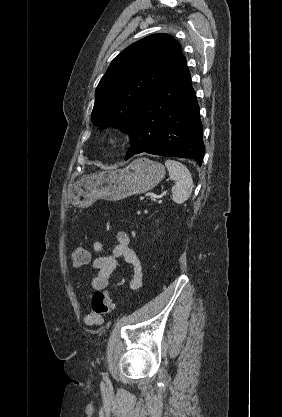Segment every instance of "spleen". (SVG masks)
Returning a JSON list of instances; mask_svg holds the SVG:
<instances>
[{"mask_svg":"<svg viewBox=\"0 0 282 417\" xmlns=\"http://www.w3.org/2000/svg\"><path fill=\"white\" fill-rule=\"evenodd\" d=\"M171 180H176L172 186V196L174 202L182 204L189 198L193 188V178L185 164L178 160H165Z\"/></svg>","mask_w":282,"mask_h":417,"instance_id":"3e777b00","label":"spleen"}]
</instances>
